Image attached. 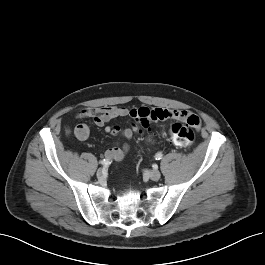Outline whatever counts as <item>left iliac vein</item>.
Listing matches in <instances>:
<instances>
[{"label": "left iliac vein", "mask_w": 265, "mask_h": 265, "mask_svg": "<svg viewBox=\"0 0 265 265\" xmlns=\"http://www.w3.org/2000/svg\"><path fill=\"white\" fill-rule=\"evenodd\" d=\"M147 175L153 181H158L161 177V173L158 170H151Z\"/></svg>", "instance_id": "obj_1"}]
</instances>
